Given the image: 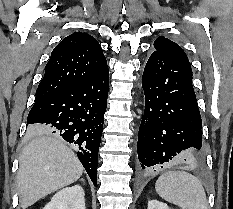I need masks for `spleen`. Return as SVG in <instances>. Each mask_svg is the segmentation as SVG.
Instances as JSON below:
<instances>
[{"label": "spleen", "mask_w": 233, "mask_h": 209, "mask_svg": "<svg viewBox=\"0 0 233 209\" xmlns=\"http://www.w3.org/2000/svg\"><path fill=\"white\" fill-rule=\"evenodd\" d=\"M155 189L164 200L182 209H208L205 190L193 175L183 171H169L156 181Z\"/></svg>", "instance_id": "1"}]
</instances>
